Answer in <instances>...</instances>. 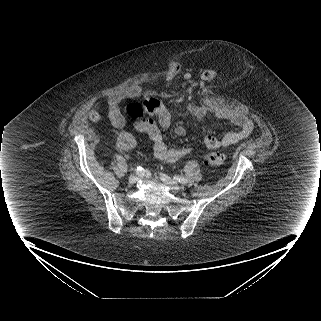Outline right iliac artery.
Returning <instances> with one entry per match:
<instances>
[{"mask_svg":"<svg viewBox=\"0 0 321 321\" xmlns=\"http://www.w3.org/2000/svg\"><path fill=\"white\" fill-rule=\"evenodd\" d=\"M133 170H135L137 173L142 172V168L138 166L133 168Z\"/></svg>","mask_w":321,"mask_h":321,"instance_id":"right-iliac-artery-1","label":"right iliac artery"}]
</instances>
